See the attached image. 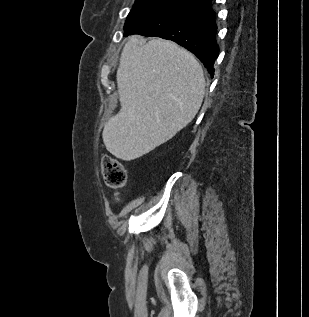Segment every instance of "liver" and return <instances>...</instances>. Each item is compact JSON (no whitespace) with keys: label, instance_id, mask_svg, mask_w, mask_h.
<instances>
[{"label":"liver","instance_id":"liver-1","mask_svg":"<svg viewBox=\"0 0 309 317\" xmlns=\"http://www.w3.org/2000/svg\"><path fill=\"white\" fill-rule=\"evenodd\" d=\"M121 109L105 124L102 138L116 158H139L173 138L199 111L203 69L176 43L132 36L117 69Z\"/></svg>","mask_w":309,"mask_h":317}]
</instances>
